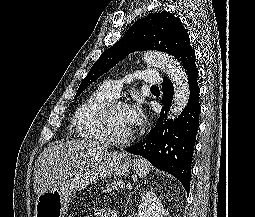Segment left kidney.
I'll return each mask as SVG.
<instances>
[{
    "label": "left kidney",
    "mask_w": 255,
    "mask_h": 217,
    "mask_svg": "<svg viewBox=\"0 0 255 217\" xmlns=\"http://www.w3.org/2000/svg\"><path fill=\"white\" fill-rule=\"evenodd\" d=\"M166 211L153 191L143 194L138 207V217H164Z\"/></svg>",
    "instance_id": "5707ae66"
}]
</instances>
